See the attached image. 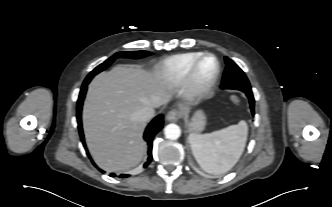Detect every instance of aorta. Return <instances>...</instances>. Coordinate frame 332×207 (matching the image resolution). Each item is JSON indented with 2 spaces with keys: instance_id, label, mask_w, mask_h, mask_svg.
Returning <instances> with one entry per match:
<instances>
[{
  "instance_id": "aorta-1",
  "label": "aorta",
  "mask_w": 332,
  "mask_h": 207,
  "mask_svg": "<svg viewBox=\"0 0 332 207\" xmlns=\"http://www.w3.org/2000/svg\"><path fill=\"white\" fill-rule=\"evenodd\" d=\"M164 134L166 138L170 140H176L181 135L180 127L176 124H169L164 129Z\"/></svg>"
}]
</instances>
